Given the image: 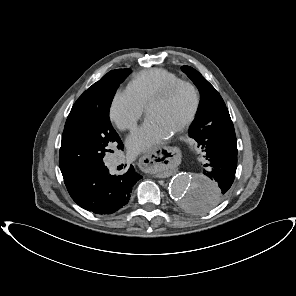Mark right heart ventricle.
<instances>
[{
  "label": "right heart ventricle",
  "instance_id": "obj_1",
  "mask_svg": "<svg viewBox=\"0 0 296 296\" xmlns=\"http://www.w3.org/2000/svg\"><path fill=\"white\" fill-rule=\"evenodd\" d=\"M181 79L172 72L153 68L138 73L127 85L126 91L146 107L151 98Z\"/></svg>",
  "mask_w": 296,
  "mask_h": 296
}]
</instances>
